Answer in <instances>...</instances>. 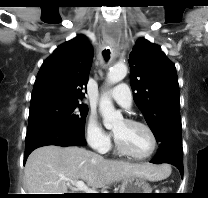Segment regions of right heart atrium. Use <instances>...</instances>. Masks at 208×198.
<instances>
[{
	"label": "right heart atrium",
	"instance_id": "right-heart-atrium-1",
	"mask_svg": "<svg viewBox=\"0 0 208 198\" xmlns=\"http://www.w3.org/2000/svg\"><path fill=\"white\" fill-rule=\"evenodd\" d=\"M86 139L88 144L100 153H105L111 144L109 136L103 131L94 116L88 118Z\"/></svg>",
	"mask_w": 208,
	"mask_h": 198
}]
</instances>
